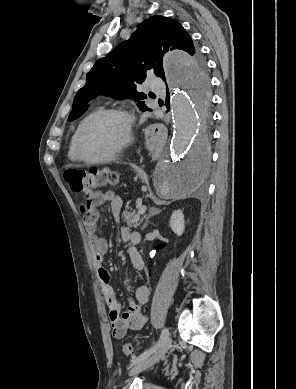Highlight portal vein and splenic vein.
<instances>
[{
  "label": "portal vein and splenic vein",
  "mask_w": 296,
  "mask_h": 389,
  "mask_svg": "<svg viewBox=\"0 0 296 389\" xmlns=\"http://www.w3.org/2000/svg\"><path fill=\"white\" fill-rule=\"evenodd\" d=\"M146 210H147V207L146 206H140L139 207V210H138V213L140 214V215H142V214H144L145 212H146Z\"/></svg>",
  "instance_id": "1"
}]
</instances>
